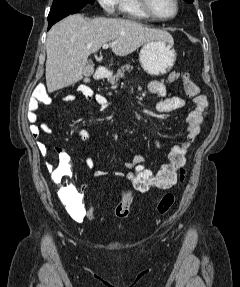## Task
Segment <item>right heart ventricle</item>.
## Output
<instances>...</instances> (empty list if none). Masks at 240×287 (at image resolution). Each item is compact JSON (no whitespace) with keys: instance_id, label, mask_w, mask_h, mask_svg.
<instances>
[{"instance_id":"e07e8e85","label":"right heart ventricle","mask_w":240,"mask_h":287,"mask_svg":"<svg viewBox=\"0 0 240 287\" xmlns=\"http://www.w3.org/2000/svg\"><path fill=\"white\" fill-rule=\"evenodd\" d=\"M117 9L120 15L127 18L138 20L150 19L142 10L139 0H119Z\"/></svg>"}]
</instances>
